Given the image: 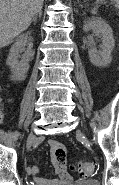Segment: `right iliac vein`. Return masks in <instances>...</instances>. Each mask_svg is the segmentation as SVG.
<instances>
[{"mask_svg": "<svg viewBox=\"0 0 119 185\" xmlns=\"http://www.w3.org/2000/svg\"><path fill=\"white\" fill-rule=\"evenodd\" d=\"M35 138H36V136H35L33 133H31V134L29 135L28 140H27V148H28V149H29V148L31 147V145L34 143Z\"/></svg>", "mask_w": 119, "mask_h": 185, "instance_id": "right-iliac-vein-1", "label": "right iliac vein"}]
</instances>
